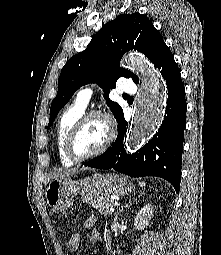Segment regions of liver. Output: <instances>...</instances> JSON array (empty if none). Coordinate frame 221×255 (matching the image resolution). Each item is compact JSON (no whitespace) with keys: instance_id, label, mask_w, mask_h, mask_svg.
Returning a JSON list of instances; mask_svg holds the SVG:
<instances>
[{"instance_id":"liver-1","label":"liver","mask_w":221,"mask_h":255,"mask_svg":"<svg viewBox=\"0 0 221 255\" xmlns=\"http://www.w3.org/2000/svg\"><path fill=\"white\" fill-rule=\"evenodd\" d=\"M78 173V169H59L51 178L68 177Z\"/></svg>"}]
</instances>
